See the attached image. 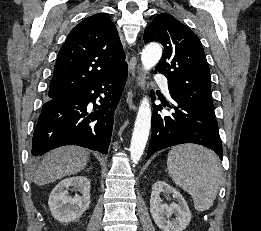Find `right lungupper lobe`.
<instances>
[{"label": "right lung upper lobe", "instance_id": "obj_1", "mask_svg": "<svg viewBox=\"0 0 261 231\" xmlns=\"http://www.w3.org/2000/svg\"><path fill=\"white\" fill-rule=\"evenodd\" d=\"M126 65L115 24L105 13L92 15L71 30L61 47L48 95H71Z\"/></svg>", "mask_w": 261, "mask_h": 231}]
</instances>
